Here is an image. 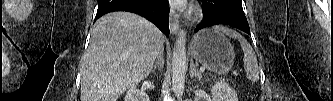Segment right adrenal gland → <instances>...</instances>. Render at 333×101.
I'll use <instances>...</instances> for the list:
<instances>
[{"instance_id": "2a0ac1e0", "label": "right adrenal gland", "mask_w": 333, "mask_h": 101, "mask_svg": "<svg viewBox=\"0 0 333 101\" xmlns=\"http://www.w3.org/2000/svg\"><path fill=\"white\" fill-rule=\"evenodd\" d=\"M163 66H164V53L162 49L157 56V60L154 65V70L158 68L161 71L163 69Z\"/></svg>"}]
</instances>
